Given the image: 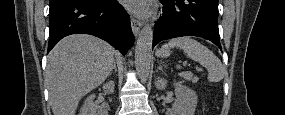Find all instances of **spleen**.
<instances>
[{
	"label": "spleen",
	"instance_id": "obj_1",
	"mask_svg": "<svg viewBox=\"0 0 285 115\" xmlns=\"http://www.w3.org/2000/svg\"><path fill=\"white\" fill-rule=\"evenodd\" d=\"M173 47L182 49L188 57L204 66L208 70L209 82H219L226 74V69L220 59L206 46L195 39L189 37L175 38L170 40L162 48L169 49ZM177 68H180V66H177Z\"/></svg>",
	"mask_w": 285,
	"mask_h": 115
}]
</instances>
